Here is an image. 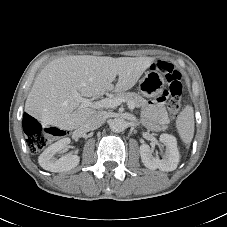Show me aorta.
Wrapping results in <instances>:
<instances>
[{
	"label": "aorta",
	"mask_w": 227,
	"mask_h": 227,
	"mask_svg": "<svg viewBox=\"0 0 227 227\" xmlns=\"http://www.w3.org/2000/svg\"><path fill=\"white\" fill-rule=\"evenodd\" d=\"M109 127L113 132H122L127 128V122L122 118H115L110 121Z\"/></svg>",
	"instance_id": "aorta-1"
}]
</instances>
